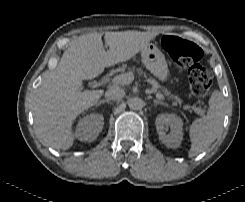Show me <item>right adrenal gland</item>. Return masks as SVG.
Listing matches in <instances>:
<instances>
[{
    "label": "right adrenal gland",
    "mask_w": 245,
    "mask_h": 202,
    "mask_svg": "<svg viewBox=\"0 0 245 202\" xmlns=\"http://www.w3.org/2000/svg\"><path fill=\"white\" fill-rule=\"evenodd\" d=\"M104 103L110 104L111 102L108 99H103V100L99 101L96 104V107H98V106H100L101 104H104Z\"/></svg>",
    "instance_id": "obj_1"
}]
</instances>
